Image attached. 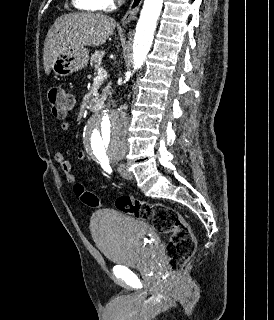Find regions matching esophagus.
Returning a JSON list of instances; mask_svg holds the SVG:
<instances>
[{
	"instance_id": "obj_1",
	"label": "esophagus",
	"mask_w": 274,
	"mask_h": 320,
	"mask_svg": "<svg viewBox=\"0 0 274 320\" xmlns=\"http://www.w3.org/2000/svg\"><path fill=\"white\" fill-rule=\"evenodd\" d=\"M142 1L143 0H132L127 12L122 17V20H121L122 25H126V24L130 23L131 20H134V18L136 17V15L139 11V8L141 6Z\"/></svg>"
}]
</instances>
